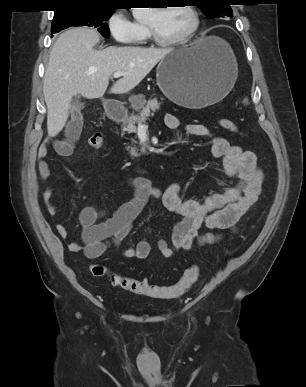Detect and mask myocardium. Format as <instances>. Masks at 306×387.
Returning a JSON list of instances; mask_svg holds the SVG:
<instances>
[{"mask_svg":"<svg viewBox=\"0 0 306 387\" xmlns=\"http://www.w3.org/2000/svg\"><path fill=\"white\" fill-rule=\"evenodd\" d=\"M182 7H184L191 14L192 20H193L192 26L187 31V33L178 39L165 40V39H162L158 35V33L156 32V30L154 29V27L152 25L147 23L146 29L148 32V36L154 44L161 46V47H173V46L184 45L192 40V38L195 36L197 31L199 30V27L201 24L200 14H199L198 10L193 5L185 4ZM166 8H167V6H163V7H159L156 9L163 10Z\"/></svg>","mask_w":306,"mask_h":387,"instance_id":"1","label":"myocardium"}]
</instances>
